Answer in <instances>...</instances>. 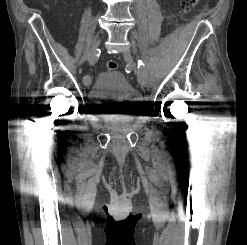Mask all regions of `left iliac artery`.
<instances>
[{
  "label": "left iliac artery",
  "mask_w": 247,
  "mask_h": 245,
  "mask_svg": "<svg viewBox=\"0 0 247 245\" xmlns=\"http://www.w3.org/2000/svg\"><path fill=\"white\" fill-rule=\"evenodd\" d=\"M131 38V45H138V40L134 39L135 35L132 33L130 35ZM134 39V40H132ZM132 53H138V48H132ZM137 65H138V71L141 75H143L146 72V68H145V64L143 63V61L141 59H138L137 61Z\"/></svg>",
  "instance_id": "obj_1"
}]
</instances>
